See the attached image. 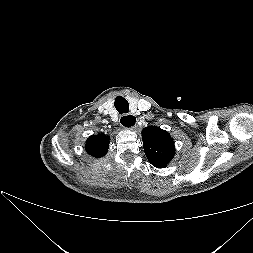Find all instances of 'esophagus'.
<instances>
[{"instance_id":"1","label":"esophagus","mask_w":253,"mask_h":253,"mask_svg":"<svg viewBox=\"0 0 253 253\" xmlns=\"http://www.w3.org/2000/svg\"><path fill=\"white\" fill-rule=\"evenodd\" d=\"M137 118L133 114H123L120 116V124L125 129L133 130L136 128Z\"/></svg>"}]
</instances>
